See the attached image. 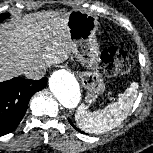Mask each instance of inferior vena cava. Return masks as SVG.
Here are the masks:
<instances>
[{
    "label": "inferior vena cava",
    "mask_w": 153,
    "mask_h": 153,
    "mask_svg": "<svg viewBox=\"0 0 153 153\" xmlns=\"http://www.w3.org/2000/svg\"><path fill=\"white\" fill-rule=\"evenodd\" d=\"M46 73V64L45 63H33L24 68L23 74L33 80H39L44 77Z\"/></svg>",
    "instance_id": "obj_1"
}]
</instances>
